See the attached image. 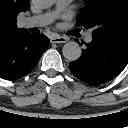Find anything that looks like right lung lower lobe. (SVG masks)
<instances>
[{"label":"right lung lower lobe","mask_w":128,"mask_h":128,"mask_svg":"<svg viewBox=\"0 0 128 128\" xmlns=\"http://www.w3.org/2000/svg\"><path fill=\"white\" fill-rule=\"evenodd\" d=\"M48 46L46 36L28 30L0 41V78L14 80L25 76L33 70Z\"/></svg>","instance_id":"obj_1"}]
</instances>
